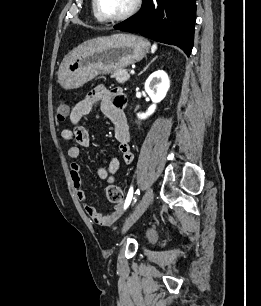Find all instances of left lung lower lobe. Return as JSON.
<instances>
[{
    "label": "left lung lower lobe",
    "mask_w": 261,
    "mask_h": 306,
    "mask_svg": "<svg viewBox=\"0 0 261 306\" xmlns=\"http://www.w3.org/2000/svg\"><path fill=\"white\" fill-rule=\"evenodd\" d=\"M196 0H143L140 12L114 26L176 45L189 56L193 47Z\"/></svg>",
    "instance_id": "left-lung-lower-lobe-1"
}]
</instances>
